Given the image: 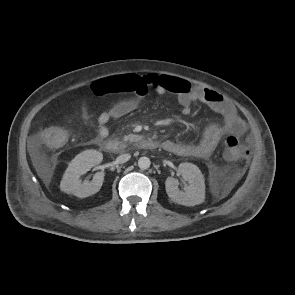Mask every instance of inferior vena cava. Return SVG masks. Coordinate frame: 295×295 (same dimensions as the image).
Masks as SVG:
<instances>
[{"label": "inferior vena cava", "mask_w": 295, "mask_h": 295, "mask_svg": "<svg viewBox=\"0 0 295 295\" xmlns=\"http://www.w3.org/2000/svg\"><path fill=\"white\" fill-rule=\"evenodd\" d=\"M131 158L130 154H121L117 157L116 162L119 164L127 162Z\"/></svg>", "instance_id": "obj_1"}]
</instances>
